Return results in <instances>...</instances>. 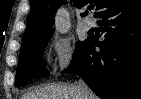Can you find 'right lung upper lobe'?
Returning a JSON list of instances; mask_svg holds the SVG:
<instances>
[{"instance_id": "1", "label": "right lung upper lobe", "mask_w": 141, "mask_h": 99, "mask_svg": "<svg viewBox=\"0 0 141 99\" xmlns=\"http://www.w3.org/2000/svg\"><path fill=\"white\" fill-rule=\"evenodd\" d=\"M77 8L86 6L88 3L96 5L95 17H98L110 6L112 0H72ZM64 3V0H32L31 11L27 18L23 44L36 41L53 33L54 15L57 8ZM85 13H82L83 16Z\"/></svg>"}]
</instances>
